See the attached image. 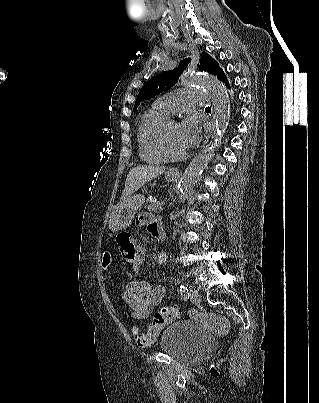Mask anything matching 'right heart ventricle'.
<instances>
[{
	"mask_svg": "<svg viewBox=\"0 0 319 403\" xmlns=\"http://www.w3.org/2000/svg\"><path fill=\"white\" fill-rule=\"evenodd\" d=\"M170 114L158 108L155 103L140 118L137 128V141L140 158L149 164L165 162L157 148V136Z\"/></svg>",
	"mask_w": 319,
	"mask_h": 403,
	"instance_id": "right-heart-ventricle-1",
	"label": "right heart ventricle"
}]
</instances>
